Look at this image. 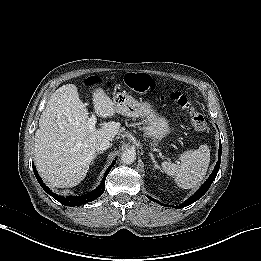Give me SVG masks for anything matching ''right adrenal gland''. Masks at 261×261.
<instances>
[{
  "instance_id": "2a0ac1e0",
  "label": "right adrenal gland",
  "mask_w": 261,
  "mask_h": 261,
  "mask_svg": "<svg viewBox=\"0 0 261 261\" xmlns=\"http://www.w3.org/2000/svg\"><path fill=\"white\" fill-rule=\"evenodd\" d=\"M103 152H97L96 154H95V156H94V159L98 156V155H100V154H102Z\"/></svg>"
}]
</instances>
